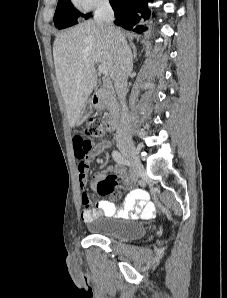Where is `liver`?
Returning a JSON list of instances; mask_svg holds the SVG:
<instances>
[{"mask_svg":"<svg viewBox=\"0 0 227 298\" xmlns=\"http://www.w3.org/2000/svg\"><path fill=\"white\" fill-rule=\"evenodd\" d=\"M53 57L69 125L74 127L97 84L95 64L105 65L115 79L113 43L95 21L87 20L56 36Z\"/></svg>","mask_w":227,"mask_h":298,"instance_id":"liver-1","label":"liver"}]
</instances>
